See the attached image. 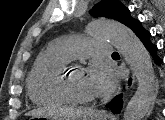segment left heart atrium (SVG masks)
<instances>
[{
  "mask_svg": "<svg viewBox=\"0 0 165 120\" xmlns=\"http://www.w3.org/2000/svg\"><path fill=\"white\" fill-rule=\"evenodd\" d=\"M87 75L97 96L110 94L116 86L114 71L101 61H95L88 69Z\"/></svg>",
  "mask_w": 165,
  "mask_h": 120,
  "instance_id": "left-heart-atrium-1",
  "label": "left heart atrium"
}]
</instances>
